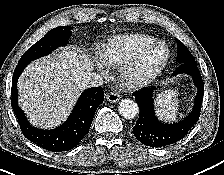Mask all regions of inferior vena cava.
Instances as JSON below:
<instances>
[{
    "label": "inferior vena cava",
    "instance_id": "obj_1",
    "mask_svg": "<svg viewBox=\"0 0 224 175\" xmlns=\"http://www.w3.org/2000/svg\"><path fill=\"white\" fill-rule=\"evenodd\" d=\"M103 78L98 73H90L81 83L82 88L98 87L103 84Z\"/></svg>",
    "mask_w": 224,
    "mask_h": 175
}]
</instances>
